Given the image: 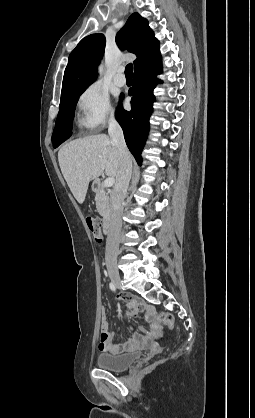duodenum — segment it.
<instances>
[{
    "label": "duodenum",
    "mask_w": 255,
    "mask_h": 418,
    "mask_svg": "<svg viewBox=\"0 0 255 418\" xmlns=\"http://www.w3.org/2000/svg\"><path fill=\"white\" fill-rule=\"evenodd\" d=\"M92 189L95 192H98L101 189V182L97 180L94 181L92 184ZM111 229H112V215L108 214L103 220L102 231L105 235H107L111 232Z\"/></svg>",
    "instance_id": "410a0bca"
}]
</instances>
